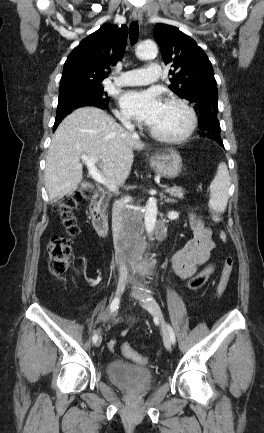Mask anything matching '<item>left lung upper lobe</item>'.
Returning <instances> with one entry per match:
<instances>
[{
    "mask_svg": "<svg viewBox=\"0 0 264 433\" xmlns=\"http://www.w3.org/2000/svg\"><path fill=\"white\" fill-rule=\"evenodd\" d=\"M154 38L160 46L165 64H172L170 90L192 103L200 115L218 112L217 83L205 52L178 28L158 24ZM204 137L221 140L220 127L204 131Z\"/></svg>",
    "mask_w": 264,
    "mask_h": 433,
    "instance_id": "left-lung-upper-lobe-1",
    "label": "left lung upper lobe"
}]
</instances>
